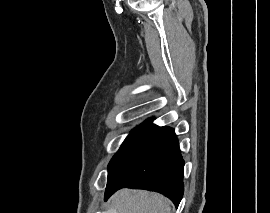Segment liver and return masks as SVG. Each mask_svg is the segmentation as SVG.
Wrapping results in <instances>:
<instances>
[{
    "label": "liver",
    "mask_w": 270,
    "mask_h": 213,
    "mask_svg": "<svg viewBox=\"0 0 270 213\" xmlns=\"http://www.w3.org/2000/svg\"><path fill=\"white\" fill-rule=\"evenodd\" d=\"M118 213H171L170 201L160 194L122 189L112 197Z\"/></svg>",
    "instance_id": "liver-1"
}]
</instances>
